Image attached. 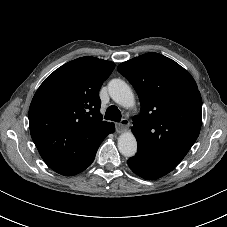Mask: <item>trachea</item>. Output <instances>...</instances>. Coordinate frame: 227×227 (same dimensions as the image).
<instances>
[{"mask_svg": "<svg viewBox=\"0 0 227 227\" xmlns=\"http://www.w3.org/2000/svg\"><path fill=\"white\" fill-rule=\"evenodd\" d=\"M104 118L107 119V120L120 122V120H121V112L116 106H114V105L109 106L108 109L106 110Z\"/></svg>", "mask_w": 227, "mask_h": 227, "instance_id": "trachea-1", "label": "trachea"}]
</instances>
